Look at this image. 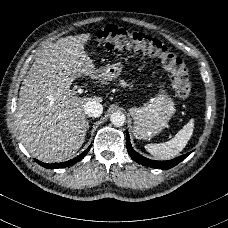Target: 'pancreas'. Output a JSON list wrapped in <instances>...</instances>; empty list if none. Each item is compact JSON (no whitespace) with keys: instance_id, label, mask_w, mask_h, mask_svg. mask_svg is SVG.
Instances as JSON below:
<instances>
[{"instance_id":"cf45deb5","label":"pancreas","mask_w":228,"mask_h":228,"mask_svg":"<svg viewBox=\"0 0 228 228\" xmlns=\"http://www.w3.org/2000/svg\"><path fill=\"white\" fill-rule=\"evenodd\" d=\"M123 86H126V83H122Z\"/></svg>"}]
</instances>
